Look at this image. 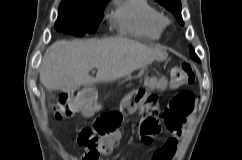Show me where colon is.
<instances>
[{"label": "colon", "mask_w": 242, "mask_h": 160, "mask_svg": "<svg viewBox=\"0 0 242 160\" xmlns=\"http://www.w3.org/2000/svg\"><path fill=\"white\" fill-rule=\"evenodd\" d=\"M196 75L190 63H183L172 68L170 78L153 79L145 86L137 87L128 96L127 105H135L142 114L141 133L143 140L148 141V136L158 132L160 128L157 119V100L151 92L153 89L163 90L166 88L178 89L195 82ZM96 97L91 91L65 93L58 97L54 105V116L58 120L70 119L79 113L95 109ZM193 94L190 91L178 93L169 103L164 111L167 127L174 128L180 125V120L186 117L193 109ZM121 124V113L116 110L101 114L91 126L80 129V140L82 146L90 148V160H97V142L100 137L116 130Z\"/></svg>", "instance_id": "obj_1"}]
</instances>
